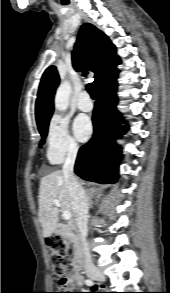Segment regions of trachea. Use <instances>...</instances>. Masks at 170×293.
Here are the masks:
<instances>
[{"label":"trachea","instance_id":"obj_1","mask_svg":"<svg viewBox=\"0 0 170 293\" xmlns=\"http://www.w3.org/2000/svg\"><path fill=\"white\" fill-rule=\"evenodd\" d=\"M83 75L86 76L87 72L85 70H83ZM86 90L88 91V93L90 94V96L95 99L96 98V93H95V88L93 86L92 83H88L86 85Z\"/></svg>","mask_w":170,"mask_h":293}]
</instances>
